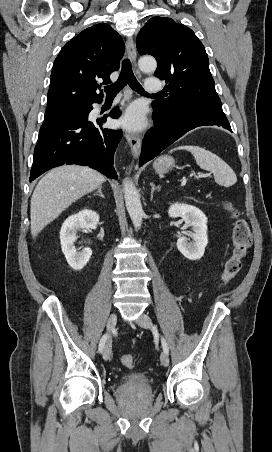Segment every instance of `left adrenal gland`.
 Instances as JSON below:
<instances>
[{"label": "left adrenal gland", "mask_w": 272, "mask_h": 452, "mask_svg": "<svg viewBox=\"0 0 272 452\" xmlns=\"http://www.w3.org/2000/svg\"><path fill=\"white\" fill-rule=\"evenodd\" d=\"M150 186H151V200H152V199H153V193H154L155 191H160L161 186H156V185L154 184V182H151V183H150Z\"/></svg>", "instance_id": "obj_1"}]
</instances>
